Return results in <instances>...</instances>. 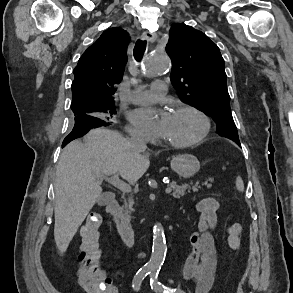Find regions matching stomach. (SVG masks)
Returning a JSON list of instances; mask_svg holds the SVG:
<instances>
[{"label": "stomach", "mask_w": 293, "mask_h": 293, "mask_svg": "<svg viewBox=\"0 0 293 293\" xmlns=\"http://www.w3.org/2000/svg\"><path fill=\"white\" fill-rule=\"evenodd\" d=\"M171 168L182 178L193 177L200 169L199 160L192 154H182L173 157Z\"/></svg>", "instance_id": "obj_1"}]
</instances>
